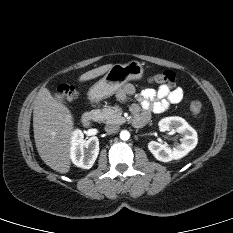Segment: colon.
<instances>
[{"label": "colon", "instance_id": "obj_1", "mask_svg": "<svg viewBox=\"0 0 233 233\" xmlns=\"http://www.w3.org/2000/svg\"><path fill=\"white\" fill-rule=\"evenodd\" d=\"M149 82L153 84L166 85L168 87H173L176 82V74L171 70H166L162 73L154 74L149 78ZM58 91L68 100H73L77 96V92L73 86L70 85H60ZM202 110V104L200 101H193L190 105L191 114L197 117Z\"/></svg>", "mask_w": 233, "mask_h": 233}]
</instances>
